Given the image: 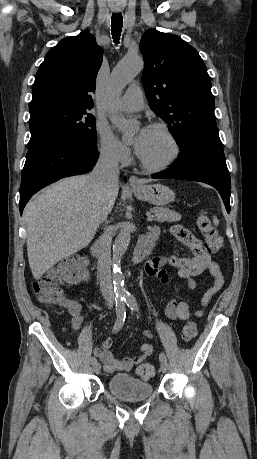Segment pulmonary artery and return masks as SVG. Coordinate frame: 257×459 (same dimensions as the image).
I'll use <instances>...</instances> for the list:
<instances>
[{
    "instance_id": "e3ab8cb5",
    "label": "pulmonary artery",
    "mask_w": 257,
    "mask_h": 459,
    "mask_svg": "<svg viewBox=\"0 0 257 459\" xmlns=\"http://www.w3.org/2000/svg\"><path fill=\"white\" fill-rule=\"evenodd\" d=\"M143 92L139 85H130L126 93L117 102L118 108L123 111H138L143 107Z\"/></svg>"
}]
</instances>
